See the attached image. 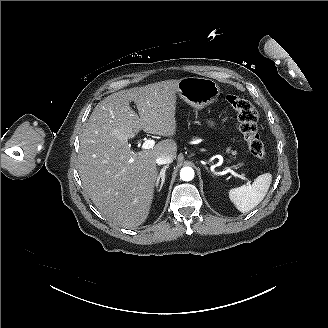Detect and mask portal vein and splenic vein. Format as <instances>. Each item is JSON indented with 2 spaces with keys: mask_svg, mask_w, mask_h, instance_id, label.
Masks as SVG:
<instances>
[{
  "mask_svg": "<svg viewBox=\"0 0 328 328\" xmlns=\"http://www.w3.org/2000/svg\"><path fill=\"white\" fill-rule=\"evenodd\" d=\"M140 148L141 150H147V149H151L154 146V141L151 139L145 140L143 143H140ZM226 170H228V172H231V174L239 179H242L246 182H250V179L245 178V176L243 174H241L240 172H235L232 169H229V167H226Z\"/></svg>",
  "mask_w": 328,
  "mask_h": 328,
  "instance_id": "obj_1",
  "label": "portal vein and splenic vein"
}]
</instances>
